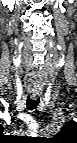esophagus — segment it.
I'll return each instance as SVG.
<instances>
[{
	"instance_id": "1",
	"label": "esophagus",
	"mask_w": 77,
	"mask_h": 143,
	"mask_svg": "<svg viewBox=\"0 0 77 143\" xmlns=\"http://www.w3.org/2000/svg\"><path fill=\"white\" fill-rule=\"evenodd\" d=\"M31 97H32L33 99H35V98H37V94H31Z\"/></svg>"
}]
</instances>
